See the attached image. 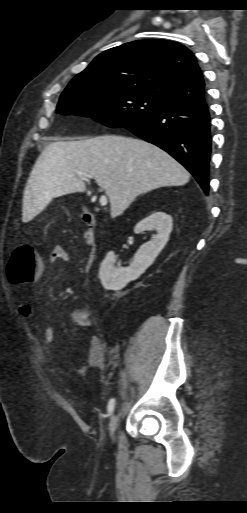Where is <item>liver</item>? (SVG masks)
Masks as SVG:
<instances>
[{
	"instance_id": "6515ba94",
	"label": "liver",
	"mask_w": 247,
	"mask_h": 513,
	"mask_svg": "<svg viewBox=\"0 0 247 513\" xmlns=\"http://www.w3.org/2000/svg\"><path fill=\"white\" fill-rule=\"evenodd\" d=\"M91 174L109 197L111 217L120 216L144 193L183 186L189 172L167 152L138 138L104 135L49 144L27 181L23 218L35 217L52 198L84 192L78 173Z\"/></svg>"
}]
</instances>
